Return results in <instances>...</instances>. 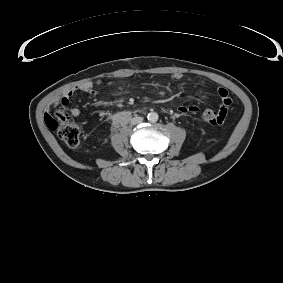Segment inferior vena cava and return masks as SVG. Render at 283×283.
I'll list each match as a JSON object with an SVG mask.
<instances>
[{
	"label": "inferior vena cava",
	"instance_id": "1",
	"mask_svg": "<svg viewBox=\"0 0 283 283\" xmlns=\"http://www.w3.org/2000/svg\"><path fill=\"white\" fill-rule=\"evenodd\" d=\"M143 121V118L142 117H134L131 119V124L132 125H136V124H139Z\"/></svg>",
	"mask_w": 283,
	"mask_h": 283
}]
</instances>
